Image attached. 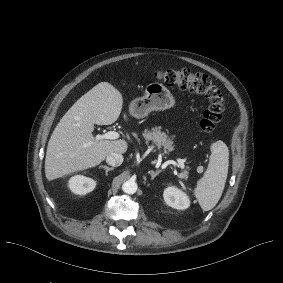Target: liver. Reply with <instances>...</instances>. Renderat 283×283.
Segmentation results:
<instances>
[{
    "instance_id": "6515ba94",
    "label": "liver",
    "mask_w": 283,
    "mask_h": 283,
    "mask_svg": "<svg viewBox=\"0 0 283 283\" xmlns=\"http://www.w3.org/2000/svg\"><path fill=\"white\" fill-rule=\"evenodd\" d=\"M121 93L110 83L101 82L79 98L61 118L48 142L45 175L53 180L99 165L112 154H123L124 139L96 140L94 124L111 125L121 113ZM126 120V115H124Z\"/></svg>"
}]
</instances>
